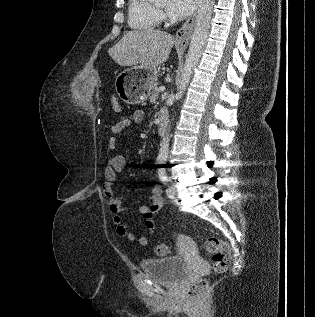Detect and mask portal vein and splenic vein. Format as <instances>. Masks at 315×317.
Here are the masks:
<instances>
[{"instance_id":"obj_1","label":"portal vein and splenic vein","mask_w":315,"mask_h":317,"mask_svg":"<svg viewBox=\"0 0 315 317\" xmlns=\"http://www.w3.org/2000/svg\"><path fill=\"white\" fill-rule=\"evenodd\" d=\"M164 90H165L164 87H161V88L159 89L160 92H163Z\"/></svg>"}]
</instances>
